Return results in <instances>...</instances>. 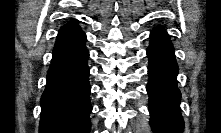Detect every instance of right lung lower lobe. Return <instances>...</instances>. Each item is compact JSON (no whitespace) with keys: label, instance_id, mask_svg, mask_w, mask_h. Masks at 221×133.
<instances>
[{"label":"right lung lower lobe","instance_id":"98d812e1","mask_svg":"<svg viewBox=\"0 0 221 133\" xmlns=\"http://www.w3.org/2000/svg\"><path fill=\"white\" fill-rule=\"evenodd\" d=\"M86 35L56 41L41 97L39 133H89V52Z\"/></svg>","mask_w":221,"mask_h":133}]
</instances>
